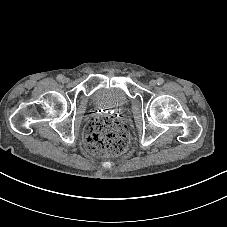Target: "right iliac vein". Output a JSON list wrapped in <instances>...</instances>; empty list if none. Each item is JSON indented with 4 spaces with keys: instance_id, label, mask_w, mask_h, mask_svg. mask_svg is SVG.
Returning a JSON list of instances; mask_svg holds the SVG:
<instances>
[{
    "instance_id": "63e3f726",
    "label": "right iliac vein",
    "mask_w": 227,
    "mask_h": 227,
    "mask_svg": "<svg viewBox=\"0 0 227 227\" xmlns=\"http://www.w3.org/2000/svg\"><path fill=\"white\" fill-rule=\"evenodd\" d=\"M63 82H68V78H64L63 79Z\"/></svg>"
}]
</instances>
